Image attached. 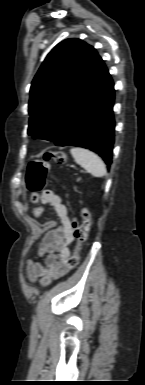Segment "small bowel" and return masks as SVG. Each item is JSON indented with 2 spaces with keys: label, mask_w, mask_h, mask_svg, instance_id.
<instances>
[{
  "label": "small bowel",
  "mask_w": 145,
  "mask_h": 385,
  "mask_svg": "<svg viewBox=\"0 0 145 385\" xmlns=\"http://www.w3.org/2000/svg\"><path fill=\"white\" fill-rule=\"evenodd\" d=\"M37 203L33 215L41 217L44 205H50L56 212L59 225L54 221L43 223L47 231L37 252L38 259L26 261L25 275L29 282L47 286L53 279L65 276L73 268L69 264L71 257L69 246L74 241L72 228L77 222L69 215L60 196L51 189L43 191ZM39 259H43V262Z\"/></svg>",
  "instance_id": "obj_1"
}]
</instances>
